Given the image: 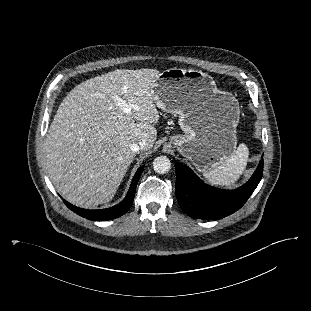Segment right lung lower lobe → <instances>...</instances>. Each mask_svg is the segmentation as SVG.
<instances>
[{
	"instance_id": "obj_1",
	"label": "right lung lower lobe",
	"mask_w": 311,
	"mask_h": 311,
	"mask_svg": "<svg viewBox=\"0 0 311 311\" xmlns=\"http://www.w3.org/2000/svg\"><path fill=\"white\" fill-rule=\"evenodd\" d=\"M143 169H144V166L140 167L137 170L125 199L116 206H113L108 209H101V210H87V209L76 207L65 200H64V203L73 212L89 220L105 221V220H111V219L120 217L124 215L131 207V204L133 202L134 195H135L136 185L140 178V175L142 174Z\"/></svg>"
}]
</instances>
